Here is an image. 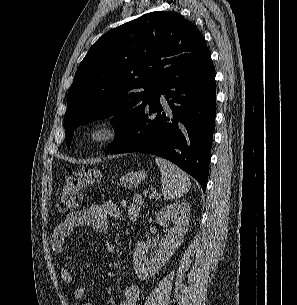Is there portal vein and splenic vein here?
I'll list each match as a JSON object with an SVG mask.
<instances>
[{"label":"portal vein and splenic vein","instance_id":"obj_1","mask_svg":"<svg viewBox=\"0 0 297 305\" xmlns=\"http://www.w3.org/2000/svg\"><path fill=\"white\" fill-rule=\"evenodd\" d=\"M143 194L146 196L148 194V192L145 191ZM154 196H155L154 194H151L150 198H154Z\"/></svg>","mask_w":297,"mask_h":305}]
</instances>
